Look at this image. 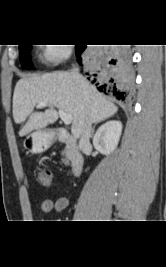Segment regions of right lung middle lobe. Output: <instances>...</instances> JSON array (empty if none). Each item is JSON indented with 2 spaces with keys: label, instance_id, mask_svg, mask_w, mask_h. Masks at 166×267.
Returning a JSON list of instances; mask_svg holds the SVG:
<instances>
[{
  "label": "right lung middle lobe",
  "instance_id": "1",
  "mask_svg": "<svg viewBox=\"0 0 166 267\" xmlns=\"http://www.w3.org/2000/svg\"><path fill=\"white\" fill-rule=\"evenodd\" d=\"M30 46L31 45H19L20 61L24 69H30L32 67L31 57H30Z\"/></svg>",
  "mask_w": 166,
  "mask_h": 267
}]
</instances>
